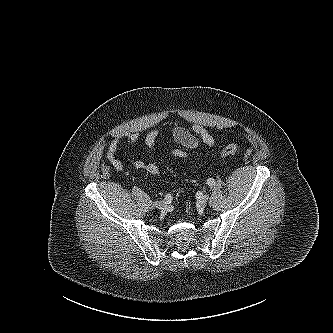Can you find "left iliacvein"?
<instances>
[{
	"label": "left iliac vein",
	"instance_id": "obj_1",
	"mask_svg": "<svg viewBox=\"0 0 333 333\" xmlns=\"http://www.w3.org/2000/svg\"><path fill=\"white\" fill-rule=\"evenodd\" d=\"M208 199H209V197L207 195H204L198 199L197 207L199 210L202 211L206 207V205L208 203Z\"/></svg>",
	"mask_w": 333,
	"mask_h": 333
}]
</instances>
